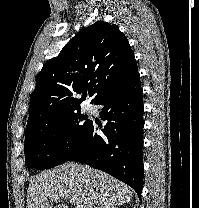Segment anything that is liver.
Masks as SVG:
<instances>
[{
  "instance_id": "1",
  "label": "liver",
  "mask_w": 199,
  "mask_h": 208,
  "mask_svg": "<svg viewBox=\"0 0 199 208\" xmlns=\"http://www.w3.org/2000/svg\"><path fill=\"white\" fill-rule=\"evenodd\" d=\"M133 191L111 175L87 165L65 163L34 177L27 191V208H68L53 205L74 199L81 208H112L128 203Z\"/></svg>"
}]
</instances>
